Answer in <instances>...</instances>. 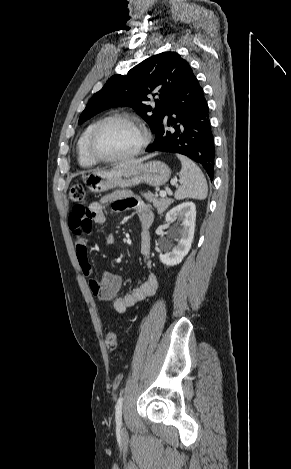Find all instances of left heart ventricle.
<instances>
[{
	"label": "left heart ventricle",
	"instance_id": "1",
	"mask_svg": "<svg viewBox=\"0 0 291 469\" xmlns=\"http://www.w3.org/2000/svg\"><path fill=\"white\" fill-rule=\"evenodd\" d=\"M142 141V133L135 126L115 121L106 125L96 141L97 150L106 157H118L135 150Z\"/></svg>",
	"mask_w": 291,
	"mask_h": 469
}]
</instances>
